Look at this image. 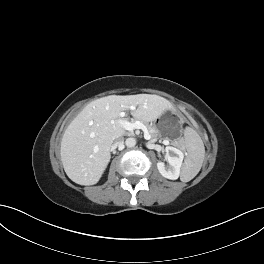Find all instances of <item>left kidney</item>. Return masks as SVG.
Listing matches in <instances>:
<instances>
[{"label": "left kidney", "mask_w": 264, "mask_h": 264, "mask_svg": "<svg viewBox=\"0 0 264 264\" xmlns=\"http://www.w3.org/2000/svg\"><path fill=\"white\" fill-rule=\"evenodd\" d=\"M165 151L169 165L165 166L163 162H158L157 168L163 177L170 180H176L180 176L184 154L181 150L172 146H167Z\"/></svg>", "instance_id": "left-kidney-1"}]
</instances>
